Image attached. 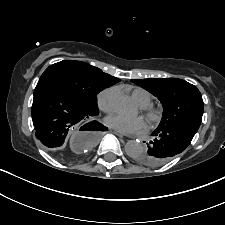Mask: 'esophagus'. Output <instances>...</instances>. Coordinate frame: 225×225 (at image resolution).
Returning a JSON list of instances; mask_svg holds the SVG:
<instances>
[{"label": "esophagus", "instance_id": "1", "mask_svg": "<svg viewBox=\"0 0 225 225\" xmlns=\"http://www.w3.org/2000/svg\"><path fill=\"white\" fill-rule=\"evenodd\" d=\"M114 132L117 133L118 136L124 137L123 134H121L120 132H118V131H114Z\"/></svg>", "mask_w": 225, "mask_h": 225}]
</instances>
